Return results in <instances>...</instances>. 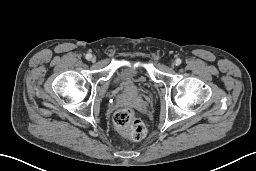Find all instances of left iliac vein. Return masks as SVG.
<instances>
[{"label": "left iliac vein", "instance_id": "4c4485c4", "mask_svg": "<svg viewBox=\"0 0 256 171\" xmlns=\"http://www.w3.org/2000/svg\"><path fill=\"white\" fill-rule=\"evenodd\" d=\"M173 65H174V66L176 65V61L173 62Z\"/></svg>", "mask_w": 256, "mask_h": 171}]
</instances>
